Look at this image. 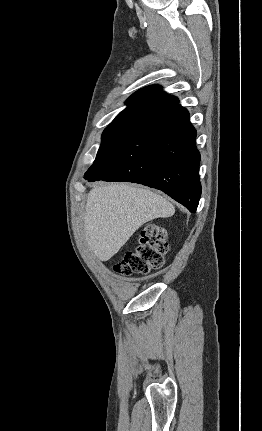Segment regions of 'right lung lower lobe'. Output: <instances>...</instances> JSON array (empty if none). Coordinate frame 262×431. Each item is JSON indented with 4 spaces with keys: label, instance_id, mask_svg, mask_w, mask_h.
<instances>
[{
    "label": "right lung lower lobe",
    "instance_id": "1",
    "mask_svg": "<svg viewBox=\"0 0 262 431\" xmlns=\"http://www.w3.org/2000/svg\"><path fill=\"white\" fill-rule=\"evenodd\" d=\"M195 138L188 111L176 105L130 126L84 178L156 188L194 213L201 196Z\"/></svg>",
    "mask_w": 262,
    "mask_h": 431
}]
</instances>
